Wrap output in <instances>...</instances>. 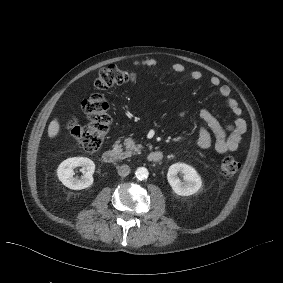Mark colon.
<instances>
[{
    "instance_id": "colon-1",
    "label": "colon",
    "mask_w": 283,
    "mask_h": 283,
    "mask_svg": "<svg viewBox=\"0 0 283 283\" xmlns=\"http://www.w3.org/2000/svg\"><path fill=\"white\" fill-rule=\"evenodd\" d=\"M135 80L134 73L116 65H109L99 71L94 82L95 91L82 102L88 123L80 125L75 119L68 121V128L78 147L88 152L100 148L111 124L109 103L102 92ZM239 169L240 163L235 158L226 156L222 159L220 171L223 176L232 177Z\"/></svg>"
}]
</instances>
